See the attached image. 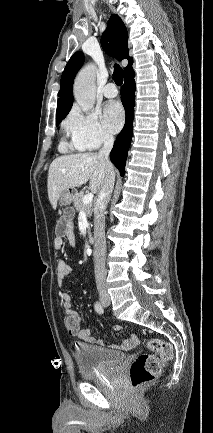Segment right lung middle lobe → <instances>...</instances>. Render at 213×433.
<instances>
[{"instance_id":"obj_1","label":"right lung middle lobe","mask_w":213,"mask_h":433,"mask_svg":"<svg viewBox=\"0 0 213 433\" xmlns=\"http://www.w3.org/2000/svg\"><path fill=\"white\" fill-rule=\"evenodd\" d=\"M61 121H62V119L61 120H57L56 125H59Z\"/></svg>"}]
</instances>
